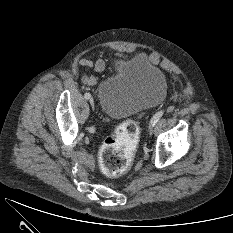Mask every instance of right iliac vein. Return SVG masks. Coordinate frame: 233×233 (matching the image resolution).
I'll return each mask as SVG.
<instances>
[{"label": "right iliac vein", "mask_w": 233, "mask_h": 233, "mask_svg": "<svg viewBox=\"0 0 233 233\" xmlns=\"http://www.w3.org/2000/svg\"><path fill=\"white\" fill-rule=\"evenodd\" d=\"M90 104L92 106V109H94L95 108V103H94V100L92 98H90Z\"/></svg>", "instance_id": "63e3f726"}]
</instances>
